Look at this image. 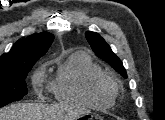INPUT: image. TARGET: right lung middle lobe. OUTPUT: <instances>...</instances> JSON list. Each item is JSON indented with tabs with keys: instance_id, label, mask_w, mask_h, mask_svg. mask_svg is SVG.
I'll return each instance as SVG.
<instances>
[{
	"instance_id": "obj_1",
	"label": "right lung middle lobe",
	"mask_w": 165,
	"mask_h": 120,
	"mask_svg": "<svg viewBox=\"0 0 165 120\" xmlns=\"http://www.w3.org/2000/svg\"><path fill=\"white\" fill-rule=\"evenodd\" d=\"M37 60L0 63V107L18 101L27 94L25 79Z\"/></svg>"
}]
</instances>
